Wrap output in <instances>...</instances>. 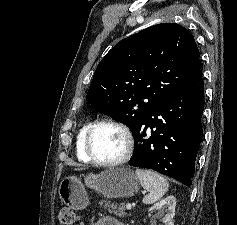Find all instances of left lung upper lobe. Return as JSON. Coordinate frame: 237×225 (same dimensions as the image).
<instances>
[{
	"mask_svg": "<svg viewBox=\"0 0 237 225\" xmlns=\"http://www.w3.org/2000/svg\"><path fill=\"white\" fill-rule=\"evenodd\" d=\"M200 82L193 35L181 25L163 23L117 43L98 64L86 100L133 131L161 100Z\"/></svg>",
	"mask_w": 237,
	"mask_h": 225,
	"instance_id": "1",
	"label": "left lung upper lobe"
}]
</instances>
